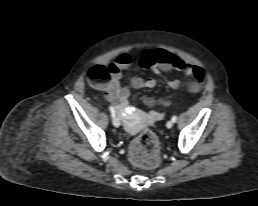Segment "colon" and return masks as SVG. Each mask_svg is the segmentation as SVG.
Returning <instances> with one entry per match:
<instances>
[{
  "label": "colon",
  "mask_w": 258,
  "mask_h": 206,
  "mask_svg": "<svg viewBox=\"0 0 258 206\" xmlns=\"http://www.w3.org/2000/svg\"><path fill=\"white\" fill-rule=\"evenodd\" d=\"M89 80L94 84H104L109 79L108 69L104 66H94L88 72ZM166 105L165 101L160 102ZM129 157L137 167L152 169L160 162V143L155 133L150 130L138 135L130 146Z\"/></svg>",
  "instance_id": "5ec220e1"
}]
</instances>
